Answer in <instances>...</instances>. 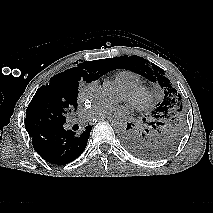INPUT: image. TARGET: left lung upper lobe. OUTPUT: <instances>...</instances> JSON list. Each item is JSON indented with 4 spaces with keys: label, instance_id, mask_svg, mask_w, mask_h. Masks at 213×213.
Segmentation results:
<instances>
[{
    "label": "left lung upper lobe",
    "instance_id": "left-lung-upper-lobe-1",
    "mask_svg": "<svg viewBox=\"0 0 213 213\" xmlns=\"http://www.w3.org/2000/svg\"><path fill=\"white\" fill-rule=\"evenodd\" d=\"M110 70L128 69L158 82L164 91V99L157 104L151 118L143 119L145 124L134 129L126 145L131 153L145 159H161L178 146L185 131V112L181 95L164 71L156 65H149L138 56H121L106 60Z\"/></svg>",
    "mask_w": 213,
    "mask_h": 213
}]
</instances>
